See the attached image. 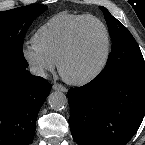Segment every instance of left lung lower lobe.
I'll return each instance as SVG.
<instances>
[{"label":"left lung lower lobe","mask_w":145,"mask_h":145,"mask_svg":"<svg viewBox=\"0 0 145 145\" xmlns=\"http://www.w3.org/2000/svg\"><path fill=\"white\" fill-rule=\"evenodd\" d=\"M69 124L78 145H126L145 115V70L68 91Z\"/></svg>","instance_id":"left-lung-lower-lobe-1"}]
</instances>
